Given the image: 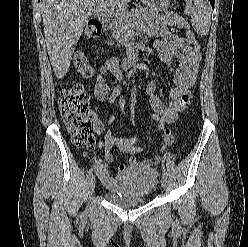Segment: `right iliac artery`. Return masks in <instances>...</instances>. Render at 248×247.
I'll use <instances>...</instances> for the list:
<instances>
[{"label":"right iliac artery","mask_w":248,"mask_h":247,"mask_svg":"<svg viewBox=\"0 0 248 247\" xmlns=\"http://www.w3.org/2000/svg\"><path fill=\"white\" fill-rule=\"evenodd\" d=\"M93 175V168H91L88 172H87V180H90V178Z\"/></svg>","instance_id":"obj_1"}]
</instances>
